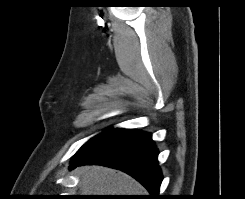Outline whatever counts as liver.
I'll return each instance as SVG.
<instances>
[{
    "instance_id": "obj_1",
    "label": "liver",
    "mask_w": 245,
    "mask_h": 199,
    "mask_svg": "<svg viewBox=\"0 0 245 199\" xmlns=\"http://www.w3.org/2000/svg\"><path fill=\"white\" fill-rule=\"evenodd\" d=\"M82 195H144V188L130 176L101 166L78 169Z\"/></svg>"
}]
</instances>
